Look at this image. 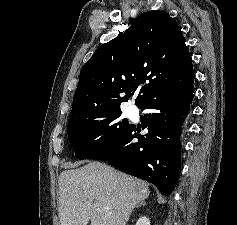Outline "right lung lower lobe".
Masks as SVG:
<instances>
[{"label": "right lung lower lobe", "mask_w": 237, "mask_h": 225, "mask_svg": "<svg viewBox=\"0 0 237 225\" xmlns=\"http://www.w3.org/2000/svg\"><path fill=\"white\" fill-rule=\"evenodd\" d=\"M193 83L161 86L138 106L150 110L141 118L142 129L149 132L139 135L136 126L130 124L111 146L90 158L105 160L171 195L180 174V135L194 97ZM134 138L138 142L134 143Z\"/></svg>", "instance_id": "1"}]
</instances>
